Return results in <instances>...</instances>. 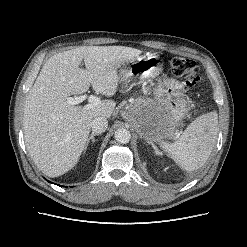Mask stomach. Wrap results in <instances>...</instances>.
Wrapping results in <instances>:
<instances>
[{
  "instance_id": "stomach-1",
  "label": "stomach",
  "mask_w": 247,
  "mask_h": 247,
  "mask_svg": "<svg viewBox=\"0 0 247 247\" xmlns=\"http://www.w3.org/2000/svg\"><path fill=\"white\" fill-rule=\"evenodd\" d=\"M162 72V60L158 56H136L119 70L120 81L140 82L152 80ZM184 85L170 78H159L154 87L153 99H139L132 123L141 137L155 141L173 136L174 130L190 110L185 98Z\"/></svg>"
}]
</instances>
